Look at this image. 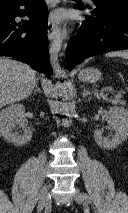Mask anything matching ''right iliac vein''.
I'll return each mask as SVG.
<instances>
[{
	"instance_id": "1",
	"label": "right iliac vein",
	"mask_w": 128,
	"mask_h": 213,
	"mask_svg": "<svg viewBox=\"0 0 128 213\" xmlns=\"http://www.w3.org/2000/svg\"><path fill=\"white\" fill-rule=\"evenodd\" d=\"M49 203V193H48V186L45 185L43 187L41 196L39 198L38 201V205H37V212L39 213L40 211H42V209L47 206V204Z\"/></svg>"
}]
</instances>
